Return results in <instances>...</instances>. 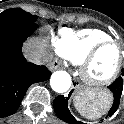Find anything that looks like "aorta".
<instances>
[{
  "label": "aorta",
  "instance_id": "762f6f07",
  "mask_svg": "<svg viewBox=\"0 0 124 124\" xmlns=\"http://www.w3.org/2000/svg\"><path fill=\"white\" fill-rule=\"evenodd\" d=\"M51 88L57 93H64L71 86V77L66 71H56L50 78Z\"/></svg>",
  "mask_w": 124,
  "mask_h": 124
}]
</instances>
